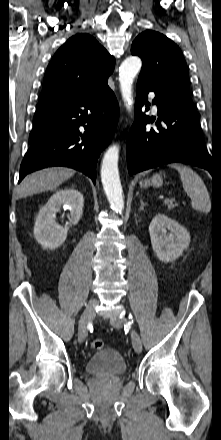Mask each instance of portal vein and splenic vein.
Returning a JSON list of instances; mask_svg holds the SVG:
<instances>
[{
    "label": "portal vein and splenic vein",
    "instance_id": "1",
    "mask_svg": "<svg viewBox=\"0 0 221 440\" xmlns=\"http://www.w3.org/2000/svg\"><path fill=\"white\" fill-rule=\"evenodd\" d=\"M168 201H169V198H165V199H164V202H168Z\"/></svg>",
    "mask_w": 221,
    "mask_h": 440
}]
</instances>
